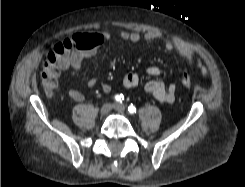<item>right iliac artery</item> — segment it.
Wrapping results in <instances>:
<instances>
[{
    "label": "right iliac artery",
    "mask_w": 245,
    "mask_h": 187,
    "mask_svg": "<svg viewBox=\"0 0 245 187\" xmlns=\"http://www.w3.org/2000/svg\"><path fill=\"white\" fill-rule=\"evenodd\" d=\"M114 99H115V101L121 103L124 100V96H123V94H117V95H115Z\"/></svg>",
    "instance_id": "right-iliac-artery-1"
}]
</instances>
